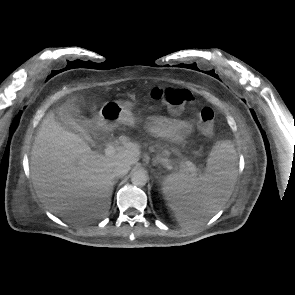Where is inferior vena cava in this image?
Here are the masks:
<instances>
[{
  "label": "inferior vena cava",
  "instance_id": "inferior-vena-cava-1",
  "mask_svg": "<svg viewBox=\"0 0 295 295\" xmlns=\"http://www.w3.org/2000/svg\"><path fill=\"white\" fill-rule=\"evenodd\" d=\"M130 170V165L124 162H118L113 167V176L120 178L126 175Z\"/></svg>",
  "mask_w": 295,
  "mask_h": 295
}]
</instances>
